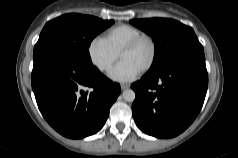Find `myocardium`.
<instances>
[{
    "label": "myocardium",
    "mask_w": 238,
    "mask_h": 158,
    "mask_svg": "<svg viewBox=\"0 0 238 158\" xmlns=\"http://www.w3.org/2000/svg\"><path fill=\"white\" fill-rule=\"evenodd\" d=\"M143 41H147L151 46L150 59L147 62V64L143 68L140 69V71L146 72L152 68V66L154 65L156 58H157V44H156L155 40L150 35L142 34V35H139V36L133 38L131 41H129L127 44L124 45V47L119 52V56L121 58L122 54H124L125 52H128L130 50H133Z\"/></svg>",
    "instance_id": "f54148a6"
}]
</instances>
